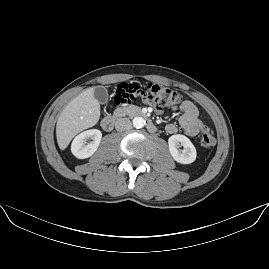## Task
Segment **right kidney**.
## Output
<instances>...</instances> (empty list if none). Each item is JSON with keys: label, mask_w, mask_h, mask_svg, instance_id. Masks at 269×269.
Segmentation results:
<instances>
[{"label": "right kidney", "mask_w": 269, "mask_h": 269, "mask_svg": "<svg viewBox=\"0 0 269 269\" xmlns=\"http://www.w3.org/2000/svg\"><path fill=\"white\" fill-rule=\"evenodd\" d=\"M88 138L92 139L90 143L86 142ZM101 138L102 133L97 129H90L80 133L72 141V154L78 159H84L92 156L98 149Z\"/></svg>", "instance_id": "obj_1"}]
</instances>
